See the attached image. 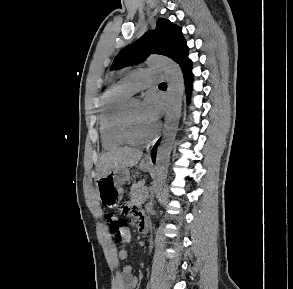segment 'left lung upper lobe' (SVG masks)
<instances>
[{"mask_svg":"<svg viewBox=\"0 0 293 289\" xmlns=\"http://www.w3.org/2000/svg\"><path fill=\"white\" fill-rule=\"evenodd\" d=\"M151 53L165 55L180 66L188 60V47L181 28L160 18L156 30L147 32L139 40L123 48L115 57L112 69L142 62Z\"/></svg>","mask_w":293,"mask_h":289,"instance_id":"left-lung-upper-lobe-1","label":"left lung upper lobe"}]
</instances>
